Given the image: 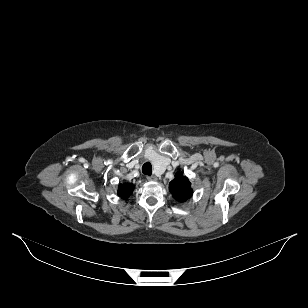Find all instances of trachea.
I'll use <instances>...</instances> for the list:
<instances>
[{"mask_svg":"<svg viewBox=\"0 0 308 308\" xmlns=\"http://www.w3.org/2000/svg\"><path fill=\"white\" fill-rule=\"evenodd\" d=\"M142 172L145 175H151L152 174V166L150 162H146L142 167Z\"/></svg>","mask_w":308,"mask_h":308,"instance_id":"obj_1","label":"trachea"}]
</instances>
